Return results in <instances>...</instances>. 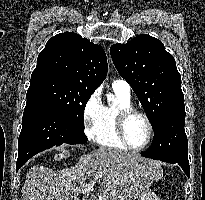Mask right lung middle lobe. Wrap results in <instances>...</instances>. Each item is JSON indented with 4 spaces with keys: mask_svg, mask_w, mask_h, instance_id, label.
I'll return each mask as SVG.
<instances>
[{
    "mask_svg": "<svg viewBox=\"0 0 205 200\" xmlns=\"http://www.w3.org/2000/svg\"><path fill=\"white\" fill-rule=\"evenodd\" d=\"M93 92L91 88L62 78L40 77L31 79L26 98L51 106L84 129V108Z\"/></svg>",
    "mask_w": 205,
    "mask_h": 200,
    "instance_id": "1",
    "label": "right lung middle lobe"
}]
</instances>
